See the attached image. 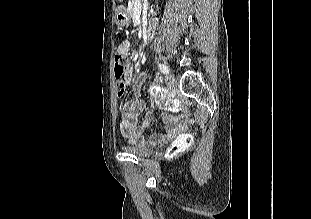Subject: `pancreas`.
I'll return each instance as SVG.
<instances>
[{
  "label": "pancreas",
  "mask_w": 311,
  "mask_h": 219,
  "mask_svg": "<svg viewBox=\"0 0 311 219\" xmlns=\"http://www.w3.org/2000/svg\"><path fill=\"white\" fill-rule=\"evenodd\" d=\"M135 1L136 0H130V4L128 6V12L131 16L133 15L134 12Z\"/></svg>",
  "instance_id": "pancreas-1"
}]
</instances>
